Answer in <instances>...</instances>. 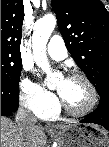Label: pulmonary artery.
Masks as SVG:
<instances>
[{"instance_id": "e3ab8cb5", "label": "pulmonary artery", "mask_w": 109, "mask_h": 147, "mask_svg": "<svg viewBox=\"0 0 109 147\" xmlns=\"http://www.w3.org/2000/svg\"><path fill=\"white\" fill-rule=\"evenodd\" d=\"M46 51L47 54L56 61L64 60L68 56L66 45L60 35H54L51 37ZM40 118L45 120V117L43 116Z\"/></svg>"}]
</instances>
